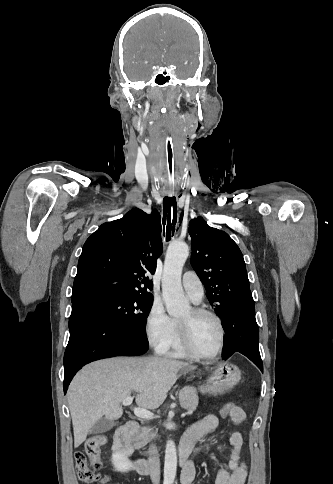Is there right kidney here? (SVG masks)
Wrapping results in <instances>:
<instances>
[{"label":"right kidney","mask_w":333,"mask_h":484,"mask_svg":"<svg viewBox=\"0 0 333 484\" xmlns=\"http://www.w3.org/2000/svg\"><path fill=\"white\" fill-rule=\"evenodd\" d=\"M112 463H113L115 470L120 471V472H127L131 467L130 461L122 453L113 454Z\"/></svg>","instance_id":"right-kidney-1"}]
</instances>
